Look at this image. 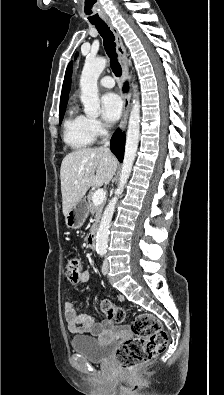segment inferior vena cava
Returning a JSON list of instances; mask_svg holds the SVG:
<instances>
[{"instance_id":"1","label":"inferior vena cava","mask_w":224,"mask_h":395,"mask_svg":"<svg viewBox=\"0 0 224 395\" xmlns=\"http://www.w3.org/2000/svg\"><path fill=\"white\" fill-rule=\"evenodd\" d=\"M108 145H109V142H106L105 145H104V148H107Z\"/></svg>"}]
</instances>
